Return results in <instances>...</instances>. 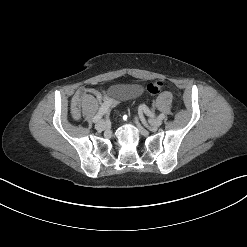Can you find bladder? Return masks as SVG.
Here are the masks:
<instances>
[{"label": "bladder", "mask_w": 247, "mask_h": 247, "mask_svg": "<svg viewBox=\"0 0 247 247\" xmlns=\"http://www.w3.org/2000/svg\"><path fill=\"white\" fill-rule=\"evenodd\" d=\"M141 90L142 87L139 84L130 83V84L115 86L114 89L112 90V93L119 100H128L138 96Z\"/></svg>", "instance_id": "bladder-1"}]
</instances>
